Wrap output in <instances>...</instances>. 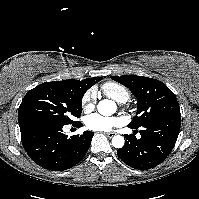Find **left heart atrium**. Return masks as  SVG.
Masks as SVG:
<instances>
[{"label":"left heart atrium","mask_w":199,"mask_h":199,"mask_svg":"<svg viewBox=\"0 0 199 199\" xmlns=\"http://www.w3.org/2000/svg\"><path fill=\"white\" fill-rule=\"evenodd\" d=\"M120 124V119L117 117H105L94 113L87 117L86 126L95 131H108Z\"/></svg>","instance_id":"obj_1"}]
</instances>
